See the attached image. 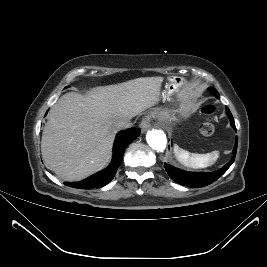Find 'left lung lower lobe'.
Listing matches in <instances>:
<instances>
[{
    "instance_id": "1",
    "label": "left lung lower lobe",
    "mask_w": 267,
    "mask_h": 267,
    "mask_svg": "<svg viewBox=\"0 0 267 267\" xmlns=\"http://www.w3.org/2000/svg\"><path fill=\"white\" fill-rule=\"evenodd\" d=\"M208 90L212 93L214 89L210 87ZM226 112H227L228 118L230 119L231 126L236 130L233 116L227 107H226ZM236 151H237V139H236V143L233 149L232 159L223 168L215 172H208V173L185 172V171H182L180 169H177L171 166L170 164H165L164 167L168 175L175 182L181 185H184V186H188V187H204L216 181L219 177H221L227 171V169L231 166V164L233 163L235 159Z\"/></svg>"
}]
</instances>
